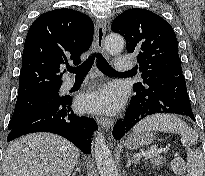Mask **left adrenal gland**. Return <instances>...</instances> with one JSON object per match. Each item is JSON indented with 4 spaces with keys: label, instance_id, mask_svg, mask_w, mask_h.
Instances as JSON below:
<instances>
[{
    "label": "left adrenal gland",
    "instance_id": "obj_1",
    "mask_svg": "<svg viewBox=\"0 0 205 176\" xmlns=\"http://www.w3.org/2000/svg\"><path fill=\"white\" fill-rule=\"evenodd\" d=\"M138 161L137 159H133V158H130L129 155H127V163H126V167L129 168L132 164H137Z\"/></svg>",
    "mask_w": 205,
    "mask_h": 176
}]
</instances>
